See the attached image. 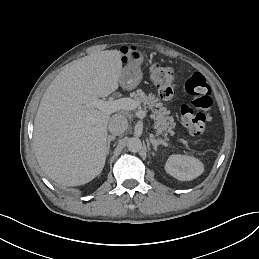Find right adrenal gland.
I'll return each instance as SVG.
<instances>
[{"instance_id":"obj_1","label":"right adrenal gland","mask_w":259,"mask_h":259,"mask_svg":"<svg viewBox=\"0 0 259 259\" xmlns=\"http://www.w3.org/2000/svg\"><path fill=\"white\" fill-rule=\"evenodd\" d=\"M115 140V135L107 136V154H109L110 143Z\"/></svg>"}]
</instances>
